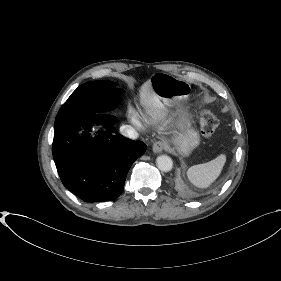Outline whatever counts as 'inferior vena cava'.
I'll return each mask as SVG.
<instances>
[{
  "instance_id": "602c4592",
  "label": "inferior vena cava",
  "mask_w": 281,
  "mask_h": 281,
  "mask_svg": "<svg viewBox=\"0 0 281 281\" xmlns=\"http://www.w3.org/2000/svg\"><path fill=\"white\" fill-rule=\"evenodd\" d=\"M120 133L125 136L128 137L130 139H137L138 138V132L131 126L129 125H123L120 127Z\"/></svg>"
}]
</instances>
